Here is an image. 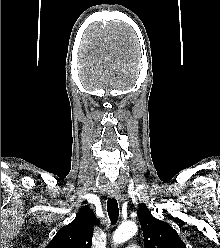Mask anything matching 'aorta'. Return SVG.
<instances>
[{"label":"aorta","instance_id":"obj_1","mask_svg":"<svg viewBox=\"0 0 220 248\" xmlns=\"http://www.w3.org/2000/svg\"><path fill=\"white\" fill-rule=\"evenodd\" d=\"M138 227L133 221H126L119 225L113 235V241L116 244H121L137 233Z\"/></svg>","mask_w":220,"mask_h":248}]
</instances>
